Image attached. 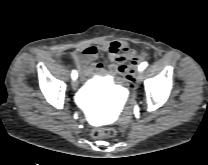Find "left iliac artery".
Segmentation results:
<instances>
[{
	"label": "left iliac artery",
	"mask_w": 208,
	"mask_h": 165,
	"mask_svg": "<svg viewBox=\"0 0 208 165\" xmlns=\"http://www.w3.org/2000/svg\"><path fill=\"white\" fill-rule=\"evenodd\" d=\"M147 65H148L147 62H142V63L139 65V71L144 70V69L147 67Z\"/></svg>",
	"instance_id": "1"
}]
</instances>
